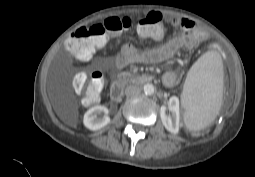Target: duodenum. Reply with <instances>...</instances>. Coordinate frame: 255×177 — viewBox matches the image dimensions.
<instances>
[{"label": "duodenum", "instance_id": "obj_1", "mask_svg": "<svg viewBox=\"0 0 255 177\" xmlns=\"http://www.w3.org/2000/svg\"><path fill=\"white\" fill-rule=\"evenodd\" d=\"M154 79L155 77L150 74H140L132 76L130 78H118L112 83L111 96L115 101H119L121 99L123 87L128 81L138 84H145L152 82Z\"/></svg>", "mask_w": 255, "mask_h": 177}]
</instances>
